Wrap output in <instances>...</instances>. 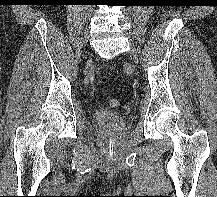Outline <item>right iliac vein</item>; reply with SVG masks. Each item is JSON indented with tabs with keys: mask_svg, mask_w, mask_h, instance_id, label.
Wrapping results in <instances>:
<instances>
[{
	"mask_svg": "<svg viewBox=\"0 0 217 197\" xmlns=\"http://www.w3.org/2000/svg\"><path fill=\"white\" fill-rule=\"evenodd\" d=\"M91 66H92V60H89L88 63H87V68L90 69Z\"/></svg>",
	"mask_w": 217,
	"mask_h": 197,
	"instance_id": "63e3f726",
	"label": "right iliac vein"
}]
</instances>
